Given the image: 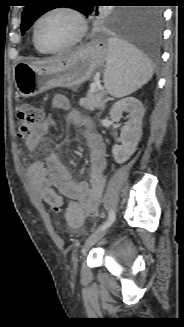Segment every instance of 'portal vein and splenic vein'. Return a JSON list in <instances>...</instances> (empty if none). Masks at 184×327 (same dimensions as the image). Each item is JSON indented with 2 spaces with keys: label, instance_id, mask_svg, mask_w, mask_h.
<instances>
[{
  "label": "portal vein and splenic vein",
  "instance_id": "portal-vein-and-splenic-vein-1",
  "mask_svg": "<svg viewBox=\"0 0 184 327\" xmlns=\"http://www.w3.org/2000/svg\"><path fill=\"white\" fill-rule=\"evenodd\" d=\"M96 89H99V85H97V84H95V83L92 84L91 87H90V90H91V91H95Z\"/></svg>",
  "mask_w": 184,
  "mask_h": 327
}]
</instances>
